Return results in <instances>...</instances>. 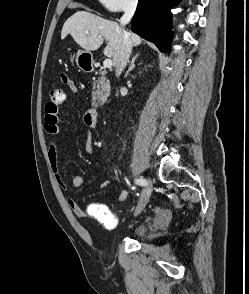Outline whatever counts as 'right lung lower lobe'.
Segmentation results:
<instances>
[{"instance_id":"right-lung-lower-lobe-1","label":"right lung lower lobe","mask_w":249,"mask_h":294,"mask_svg":"<svg viewBox=\"0 0 249 294\" xmlns=\"http://www.w3.org/2000/svg\"><path fill=\"white\" fill-rule=\"evenodd\" d=\"M180 0H139L131 29L166 52L171 42V8Z\"/></svg>"}]
</instances>
